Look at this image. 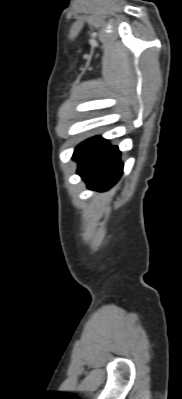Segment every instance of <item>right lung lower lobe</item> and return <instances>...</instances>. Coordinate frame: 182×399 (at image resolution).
<instances>
[{"label": "right lung lower lobe", "instance_id": "1", "mask_svg": "<svg viewBox=\"0 0 182 399\" xmlns=\"http://www.w3.org/2000/svg\"><path fill=\"white\" fill-rule=\"evenodd\" d=\"M72 158L79 164L77 174L89 188L108 190L123 172L118 147L109 146L108 141L99 136L81 143Z\"/></svg>", "mask_w": 182, "mask_h": 399}]
</instances>
